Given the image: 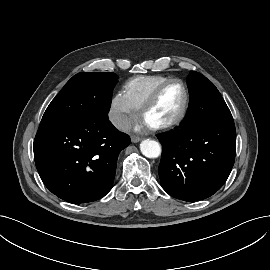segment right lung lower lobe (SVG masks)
<instances>
[{
	"mask_svg": "<svg viewBox=\"0 0 270 270\" xmlns=\"http://www.w3.org/2000/svg\"><path fill=\"white\" fill-rule=\"evenodd\" d=\"M129 143L107 114L45 120L34 140V159L50 192L70 203H87L111 190L118 155Z\"/></svg>",
	"mask_w": 270,
	"mask_h": 270,
	"instance_id": "98d812e1",
	"label": "right lung lower lobe"
}]
</instances>
